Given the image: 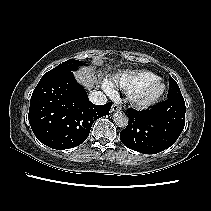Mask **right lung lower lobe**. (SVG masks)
<instances>
[{"instance_id":"1","label":"right lung lower lobe","mask_w":211,"mask_h":211,"mask_svg":"<svg viewBox=\"0 0 211 211\" xmlns=\"http://www.w3.org/2000/svg\"><path fill=\"white\" fill-rule=\"evenodd\" d=\"M112 103L94 105L73 73L40 81L30 101L29 123L40 142L57 150L83 143L94 121L109 113Z\"/></svg>"}]
</instances>
